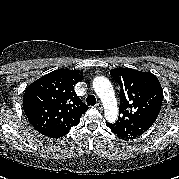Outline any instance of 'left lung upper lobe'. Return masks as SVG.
<instances>
[{"mask_svg": "<svg viewBox=\"0 0 179 179\" xmlns=\"http://www.w3.org/2000/svg\"><path fill=\"white\" fill-rule=\"evenodd\" d=\"M110 74L120 85L119 117L106 123L119 138L134 139L155 122L161 109L163 90L158 78L149 72L115 68Z\"/></svg>", "mask_w": 179, "mask_h": 179, "instance_id": "5c2ea615", "label": "left lung upper lobe"}]
</instances>
